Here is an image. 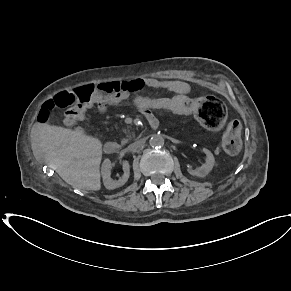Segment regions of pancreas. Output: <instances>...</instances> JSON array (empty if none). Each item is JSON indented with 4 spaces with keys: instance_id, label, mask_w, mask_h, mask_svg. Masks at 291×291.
<instances>
[{
    "instance_id": "cf45deb5",
    "label": "pancreas",
    "mask_w": 291,
    "mask_h": 291,
    "mask_svg": "<svg viewBox=\"0 0 291 291\" xmlns=\"http://www.w3.org/2000/svg\"><path fill=\"white\" fill-rule=\"evenodd\" d=\"M128 142V138H123L122 143L125 144Z\"/></svg>"
}]
</instances>
